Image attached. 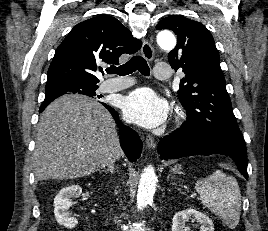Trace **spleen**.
Returning <instances> with one entry per match:
<instances>
[{
  "label": "spleen",
  "mask_w": 268,
  "mask_h": 231,
  "mask_svg": "<svg viewBox=\"0 0 268 231\" xmlns=\"http://www.w3.org/2000/svg\"><path fill=\"white\" fill-rule=\"evenodd\" d=\"M195 189L203 205L219 216L230 228L240 220L241 194L237 180L222 170L196 182Z\"/></svg>",
  "instance_id": "spleen-1"
}]
</instances>
